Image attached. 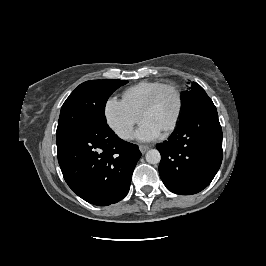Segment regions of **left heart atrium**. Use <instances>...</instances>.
Here are the masks:
<instances>
[{
  "label": "left heart atrium",
  "mask_w": 266,
  "mask_h": 266,
  "mask_svg": "<svg viewBox=\"0 0 266 266\" xmlns=\"http://www.w3.org/2000/svg\"><path fill=\"white\" fill-rule=\"evenodd\" d=\"M161 129L148 120L143 119L138 130L137 138L141 141H150L160 136Z\"/></svg>",
  "instance_id": "1"
}]
</instances>
